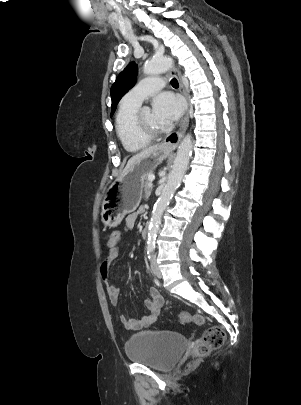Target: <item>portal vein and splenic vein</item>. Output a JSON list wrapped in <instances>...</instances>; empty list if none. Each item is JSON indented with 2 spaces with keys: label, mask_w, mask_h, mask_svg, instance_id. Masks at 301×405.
Instances as JSON below:
<instances>
[{
  "label": "portal vein and splenic vein",
  "mask_w": 301,
  "mask_h": 405,
  "mask_svg": "<svg viewBox=\"0 0 301 405\" xmlns=\"http://www.w3.org/2000/svg\"><path fill=\"white\" fill-rule=\"evenodd\" d=\"M148 179H149V181L151 182V185H152V181L155 180V176L154 175H149Z\"/></svg>",
  "instance_id": "1"
}]
</instances>
